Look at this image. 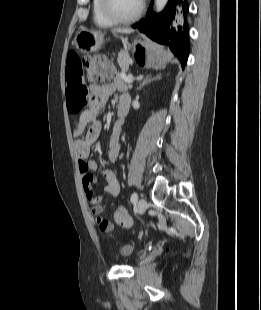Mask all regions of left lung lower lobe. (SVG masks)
<instances>
[{
    "label": "left lung lower lobe",
    "mask_w": 261,
    "mask_h": 310,
    "mask_svg": "<svg viewBox=\"0 0 261 310\" xmlns=\"http://www.w3.org/2000/svg\"><path fill=\"white\" fill-rule=\"evenodd\" d=\"M187 10L188 4L186 0H169L163 12L155 14L152 11L151 2L146 17L133 26L152 40L168 45L180 60L183 69L189 54L188 25L185 24L182 30L181 26L178 28L173 27L172 21L182 11L186 16Z\"/></svg>",
    "instance_id": "0a47b994"
}]
</instances>
